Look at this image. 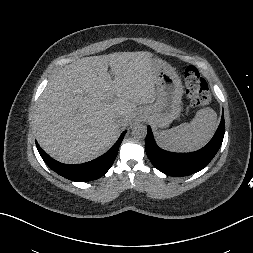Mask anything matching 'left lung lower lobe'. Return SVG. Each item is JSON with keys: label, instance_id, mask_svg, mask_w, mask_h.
<instances>
[{"label": "left lung lower lobe", "instance_id": "left-lung-lower-lobe-1", "mask_svg": "<svg viewBox=\"0 0 253 253\" xmlns=\"http://www.w3.org/2000/svg\"><path fill=\"white\" fill-rule=\"evenodd\" d=\"M225 133L224 113L212 140L203 148L191 153H171L160 149L154 140L151 128L147 127L145 150L152 164L170 176H187L205 168L221 147Z\"/></svg>", "mask_w": 253, "mask_h": 253}]
</instances>
